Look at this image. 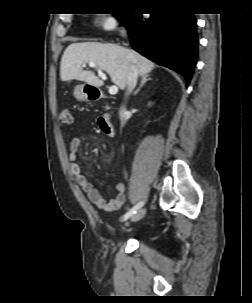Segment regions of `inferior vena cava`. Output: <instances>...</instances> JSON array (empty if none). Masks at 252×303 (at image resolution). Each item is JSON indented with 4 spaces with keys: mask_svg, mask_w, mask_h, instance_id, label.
<instances>
[{
    "mask_svg": "<svg viewBox=\"0 0 252 303\" xmlns=\"http://www.w3.org/2000/svg\"><path fill=\"white\" fill-rule=\"evenodd\" d=\"M121 32L124 34L125 30H122ZM137 77H138L137 69L134 65H131L127 77V89L125 93L126 96H128L135 88L137 83ZM125 113H126L125 106H121L119 110V117L122 125L126 123Z\"/></svg>",
    "mask_w": 252,
    "mask_h": 303,
    "instance_id": "inferior-vena-cava-1",
    "label": "inferior vena cava"
}]
</instances>
